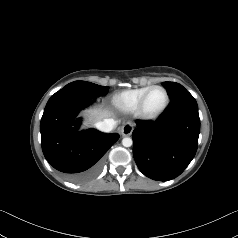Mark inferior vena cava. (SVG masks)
<instances>
[{
    "label": "inferior vena cava",
    "instance_id": "1",
    "mask_svg": "<svg viewBox=\"0 0 238 238\" xmlns=\"http://www.w3.org/2000/svg\"><path fill=\"white\" fill-rule=\"evenodd\" d=\"M116 125V121L113 119H104L103 121H99L95 124L96 128L102 132H110L114 129Z\"/></svg>",
    "mask_w": 238,
    "mask_h": 238
}]
</instances>
